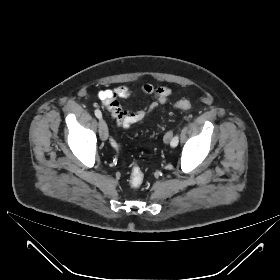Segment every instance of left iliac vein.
Here are the masks:
<instances>
[{"label":"left iliac vein","instance_id":"4c4485c4","mask_svg":"<svg viewBox=\"0 0 280 280\" xmlns=\"http://www.w3.org/2000/svg\"><path fill=\"white\" fill-rule=\"evenodd\" d=\"M173 137V132L172 131H168L165 135H164V142L165 143H169L171 141Z\"/></svg>","mask_w":280,"mask_h":280}]
</instances>
